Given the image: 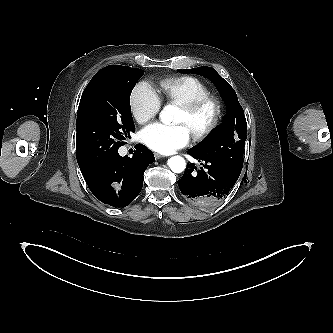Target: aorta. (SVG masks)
I'll return each instance as SVG.
<instances>
[{
    "label": "aorta",
    "mask_w": 333,
    "mask_h": 333,
    "mask_svg": "<svg viewBox=\"0 0 333 333\" xmlns=\"http://www.w3.org/2000/svg\"><path fill=\"white\" fill-rule=\"evenodd\" d=\"M178 110L173 105H167L160 112V119L164 124H170ZM168 166L174 173H181L186 167L185 159L181 156H173L168 160Z\"/></svg>",
    "instance_id": "obj_1"
}]
</instances>
